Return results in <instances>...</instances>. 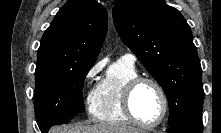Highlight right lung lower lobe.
Instances as JSON below:
<instances>
[{"instance_id":"obj_1","label":"right lung lower lobe","mask_w":221,"mask_h":133,"mask_svg":"<svg viewBox=\"0 0 221 133\" xmlns=\"http://www.w3.org/2000/svg\"><path fill=\"white\" fill-rule=\"evenodd\" d=\"M50 127H48L46 130L41 131L42 133H47Z\"/></svg>"}]
</instances>
